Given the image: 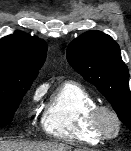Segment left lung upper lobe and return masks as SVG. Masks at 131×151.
Listing matches in <instances>:
<instances>
[{"mask_svg": "<svg viewBox=\"0 0 131 151\" xmlns=\"http://www.w3.org/2000/svg\"><path fill=\"white\" fill-rule=\"evenodd\" d=\"M67 59L86 81L97 87L131 130L129 72L118 44L100 31H87L68 45Z\"/></svg>", "mask_w": 131, "mask_h": 151, "instance_id": "obj_1", "label": "left lung upper lobe"}]
</instances>
